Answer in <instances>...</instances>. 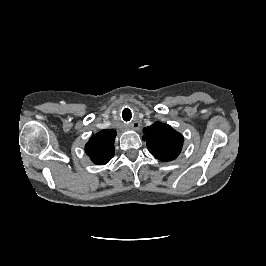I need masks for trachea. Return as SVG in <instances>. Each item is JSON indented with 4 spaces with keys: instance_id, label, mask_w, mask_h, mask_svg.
I'll use <instances>...</instances> for the list:
<instances>
[{
    "instance_id": "trachea-1",
    "label": "trachea",
    "mask_w": 266,
    "mask_h": 266,
    "mask_svg": "<svg viewBox=\"0 0 266 266\" xmlns=\"http://www.w3.org/2000/svg\"><path fill=\"white\" fill-rule=\"evenodd\" d=\"M122 118H123V120L126 121V122L131 120V118H132V113H131L130 109L125 108V109L123 110V112H122Z\"/></svg>"
}]
</instances>
